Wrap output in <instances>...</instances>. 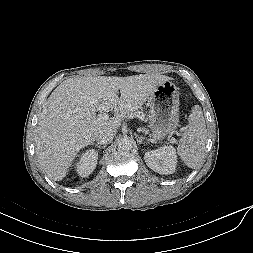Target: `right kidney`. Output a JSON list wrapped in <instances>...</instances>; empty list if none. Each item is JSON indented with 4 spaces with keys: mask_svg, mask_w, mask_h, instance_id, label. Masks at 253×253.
I'll return each instance as SVG.
<instances>
[{
    "mask_svg": "<svg viewBox=\"0 0 253 253\" xmlns=\"http://www.w3.org/2000/svg\"><path fill=\"white\" fill-rule=\"evenodd\" d=\"M98 160V153L91 149L82 153L76 163V171L81 177L89 176L95 169Z\"/></svg>",
    "mask_w": 253,
    "mask_h": 253,
    "instance_id": "obj_1",
    "label": "right kidney"
}]
</instances>
